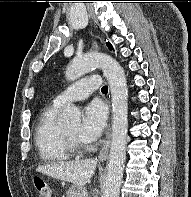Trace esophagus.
Segmentation results:
<instances>
[{
	"mask_svg": "<svg viewBox=\"0 0 191 197\" xmlns=\"http://www.w3.org/2000/svg\"><path fill=\"white\" fill-rule=\"evenodd\" d=\"M110 144H111V124L109 125L107 134H106V139L105 142L103 144V147L99 153V159L105 160L108 156V152H109V148H110Z\"/></svg>",
	"mask_w": 191,
	"mask_h": 197,
	"instance_id": "obj_1",
	"label": "esophagus"
}]
</instances>
